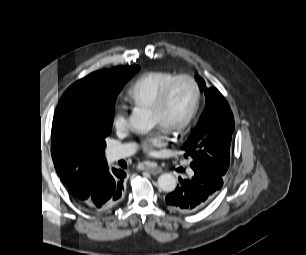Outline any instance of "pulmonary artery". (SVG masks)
Masks as SVG:
<instances>
[{
	"label": "pulmonary artery",
	"mask_w": 306,
	"mask_h": 255,
	"mask_svg": "<svg viewBox=\"0 0 306 255\" xmlns=\"http://www.w3.org/2000/svg\"><path fill=\"white\" fill-rule=\"evenodd\" d=\"M132 152L133 148L131 146L128 145L119 146L109 151V158L111 161H116L129 156L130 154H132Z\"/></svg>",
	"instance_id": "obj_1"
}]
</instances>
